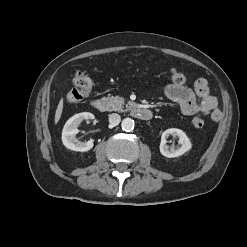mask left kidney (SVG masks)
Returning <instances> with one entry per match:
<instances>
[{
	"label": "left kidney",
	"mask_w": 247,
	"mask_h": 247,
	"mask_svg": "<svg viewBox=\"0 0 247 247\" xmlns=\"http://www.w3.org/2000/svg\"><path fill=\"white\" fill-rule=\"evenodd\" d=\"M172 135L173 137L179 138V147L175 149L174 147L169 148L166 145V139ZM192 147L190 139L187 137L186 133L177 128H170L165 130L161 136L160 152L163 156L168 158L179 157L189 151Z\"/></svg>",
	"instance_id": "left-kidney-1"
}]
</instances>
